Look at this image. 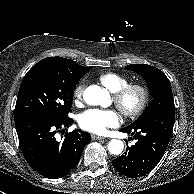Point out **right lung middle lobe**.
<instances>
[{"label":"right lung middle lobe","mask_w":194,"mask_h":194,"mask_svg":"<svg viewBox=\"0 0 194 194\" xmlns=\"http://www.w3.org/2000/svg\"><path fill=\"white\" fill-rule=\"evenodd\" d=\"M91 68L84 71L72 69L62 57H48L39 61L22 81L15 116L44 113L58 119L67 117L76 85Z\"/></svg>","instance_id":"obj_1"}]
</instances>
